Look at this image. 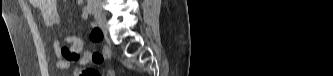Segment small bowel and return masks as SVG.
<instances>
[{"label":"small bowel","mask_w":333,"mask_h":76,"mask_svg":"<svg viewBox=\"0 0 333 76\" xmlns=\"http://www.w3.org/2000/svg\"><path fill=\"white\" fill-rule=\"evenodd\" d=\"M33 2L47 25L58 26L60 24L57 0H35ZM78 4L81 5L82 1L79 0ZM87 15L85 11L82 13L83 18H87ZM91 27V40L94 42H103L104 36L102 33L96 30L94 24ZM54 50L58 59L56 66L60 69H68L74 63H78L80 66H86L90 63H100L104 55L108 52L107 49H103L102 51L84 50L83 40L74 35H62L58 37L54 42ZM89 69L98 72L94 68ZM81 73L82 71L80 70L77 76H82Z\"/></svg>","instance_id":"1"}]
</instances>
